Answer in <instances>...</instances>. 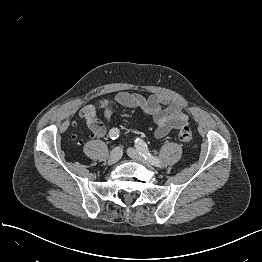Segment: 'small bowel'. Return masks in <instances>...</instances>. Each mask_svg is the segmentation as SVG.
I'll list each match as a JSON object with an SVG mask.
<instances>
[{"label":"small bowel","mask_w":262,"mask_h":262,"mask_svg":"<svg viewBox=\"0 0 262 262\" xmlns=\"http://www.w3.org/2000/svg\"><path fill=\"white\" fill-rule=\"evenodd\" d=\"M118 104L128 109H139L151 117L156 129L155 137L162 138L170 131L180 129L189 123V116L183 110L182 104L175 100L154 94L145 98L138 93L118 92L113 98L100 99L97 104H86L80 110L79 116L86 121L92 137H101L105 129L96 118V111L102 110L104 117L110 122H116L114 105Z\"/></svg>","instance_id":"obj_1"}]
</instances>
